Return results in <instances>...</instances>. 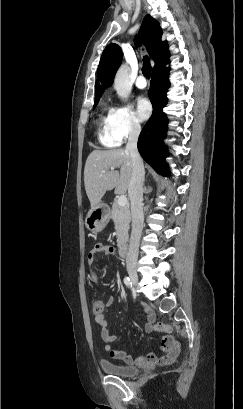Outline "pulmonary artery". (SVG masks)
Wrapping results in <instances>:
<instances>
[{
    "label": "pulmonary artery",
    "mask_w": 243,
    "mask_h": 409,
    "mask_svg": "<svg viewBox=\"0 0 243 409\" xmlns=\"http://www.w3.org/2000/svg\"><path fill=\"white\" fill-rule=\"evenodd\" d=\"M135 85L139 89H145L147 86L145 77L143 75H139L138 78L136 79Z\"/></svg>",
    "instance_id": "e3ab8cb5"
}]
</instances>
